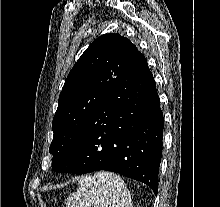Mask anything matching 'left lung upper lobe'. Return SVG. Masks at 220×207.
I'll list each match as a JSON object with an SVG mask.
<instances>
[{
  "label": "left lung upper lobe",
  "mask_w": 220,
  "mask_h": 207,
  "mask_svg": "<svg viewBox=\"0 0 220 207\" xmlns=\"http://www.w3.org/2000/svg\"><path fill=\"white\" fill-rule=\"evenodd\" d=\"M137 52L129 39L105 34L81 55L65 80L53 118L54 136L49 148L53 155L52 168L97 112Z\"/></svg>",
  "instance_id": "1"
}]
</instances>
